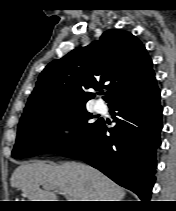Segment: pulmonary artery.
<instances>
[{"label": "pulmonary artery", "mask_w": 176, "mask_h": 211, "mask_svg": "<svg viewBox=\"0 0 176 211\" xmlns=\"http://www.w3.org/2000/svg\"><path fill=\"white\" fill-rule=\"evenodd\" d=\"M95 110L97 112H104L106 110V106H105L104 102H102L101 100H97L95 102Z\"/></svg>", "instance_id": "pulmonary-artery-1"}]
</instances>
